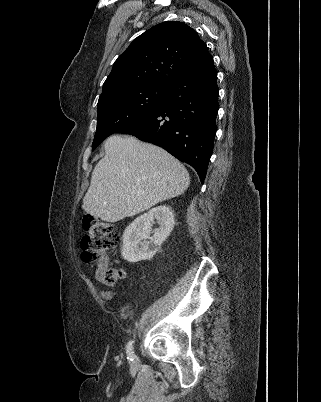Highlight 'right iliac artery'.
<instances>
[{
    "label": "right iliac artery",
    "instance_id": "1",
    "mask_svg": "<svg viewBox=\"0 0 321 402\" xmlns=\"http://www.w3.org/2000/svg\"><path fill=\"white\" fill-rule=\"evenodd\" d=\"M127 358L133 360L134 358V341L131 340L127 344Z\"/></svg>",
    "mask_w": 321,
    "mask_h": 402
}]
</instances>
